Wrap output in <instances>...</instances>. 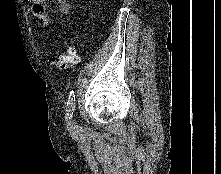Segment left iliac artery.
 Masks as SVG:
<instances>
[{
    "label": "left iliac artery",
    "instance_id": "44dca946",
    "mask_svg": "<svg viewBox=\"0 0 221 174\" xmlns=\"http://www.w3.org/2000/svg\"><path fill=\"white\" fill-rule=\"evenodd\" d=\"M75 101L76 95L74 90H71L68 96L67 104H66V119L70 120L73 117V113L75 110Z\"/></svg>",
    "mask_w": 221,
    "mask_h": 174
}]
</instances>
